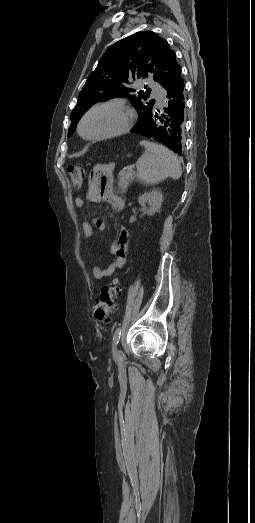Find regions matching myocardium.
Returning <instances> with one entry per match:
<instances>
[{"label": "myocardium", "instance_id": "myocardium-1", "mask_svg": "<svg viewBox=\"0 0 255 523\" xmlns=\"http://www.w3.org/2000/svg\"><path fill=\"white\" fill-rule=\"evenodd\" d=\"M99 108H112V109H115L118 111L126 112L127 120H126L124 126L116 132L102 135V136L87 137L83 133L84 121L92 111L99 109ZM136 121H137L136 110L130 105H127L125 103H117V102L98 103V104H95V105L91 106L90 108H88L84 112V114L81 116L79 123H78V133L83 139H85L87 141H93V142L105 141V140L114 139V138H117V137H120V136H123V135L129 133L130 130L133 128L134 124L136 123Z\"/></svg>", "mask_w": 255, "mask_h": 523}]
</instances>
